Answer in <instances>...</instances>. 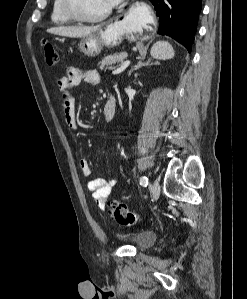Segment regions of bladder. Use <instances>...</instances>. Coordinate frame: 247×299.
<instances>
[{"label": "bladder", "mask_w": 247, "mask_h": 299, "mask_svg": "<svg viewBox=\"0 0 247 299\" xmlns=\"http://www.w3.org/2000/svg\"><path fill=\"white\" fill-rule=\"evenodd\" d=\"M119 238L129 242L138 249H147L155 243L157 235L155 232L150 230H139L135 232L122 233L119 235Z\"/></svg>", "instance_id": "31cf9c89"}]
</instances>
